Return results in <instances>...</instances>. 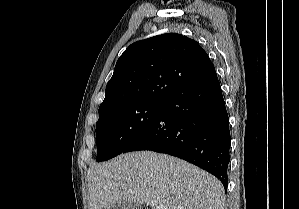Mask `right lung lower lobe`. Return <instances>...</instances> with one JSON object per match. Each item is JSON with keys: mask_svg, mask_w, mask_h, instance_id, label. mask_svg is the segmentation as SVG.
<instances>
[{"mask_svg": "<svg viewBox=\"0 0 299 209\" xmlns=\"http://www.w3.org/2000/svg\"><path fill=\"white\" fill-rule=\"evenodd\" d=\"M229 119L215 69L186 80L125 152L152 150L191 162L228 185Z\"/></svg>", "mask_w": 299, "mask_h": 209, "instance_id": "obj_1", "label": "right lung lower lobe"}]
</instances>
